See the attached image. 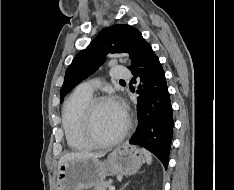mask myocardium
Listing matches in <instances>:
<instances>
[{"instance_id":"obj_1","label":"myocardium","mask_w":234,"mask_h":190,"mask_svg":"<svg viewBox=\"0 0 234 190\" xmlns=\"http://www.w3.org/2000/svg\"><path fill=\"white\" fill-rule=\"evenodd\" d=\"M107 102H111V99L106 96H99L91 98V100L86 104L83 115H82V126L83 132L87 140L92 144V146L97 147H107L118 143L124 138L130 128V122L125 119V124L123 128L115 136L109 139H99L93 129V119L97 108Z\"/></svg>"}]
</instances>
